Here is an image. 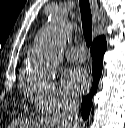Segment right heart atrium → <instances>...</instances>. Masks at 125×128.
<instances>
[{
	"instance_id": "obj_1",
	"label": "right heart atrium",
	"mask_w": 125,
	"mask_h": 128,
	"mask_svg": "<svg viewBox=\"0 0 125 128\" xmlns=\"http://www.w3.org/2000/svg\"><path fill=\"white\" fill-rule=\"evenodd\" d=\"M24 87L31 103L41 113L56 114L73 105V100L51 78L29 76Z\"/></svg>"
}]
</instances>
